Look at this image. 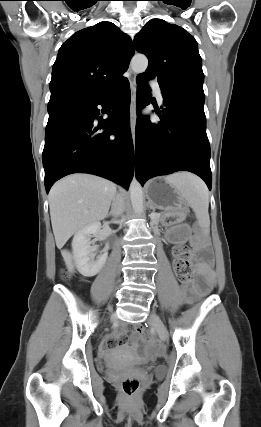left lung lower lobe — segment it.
I'll return each instance as SVG.
<instances>
[{
  "label": "left lung lower lobe",
  "instance_id": "obj_1",
  "mask_svg": "<svg viewBox=\"0 0 261 427\" xmlns=\"http://www.w3.org/2000/svg\"><path fill=\"white\" fill-rule=\"evenodd\" d=\"M137 111L149 105L147 79L137 76ZM164 108L158 123L138 113L135 173L141 185L154 176L190 171L211 190L210 145L206 134L205 96L186 89H161ZM162 113V114H161Z\"/></svg>",
  "mask_w": 261,
  "mask_h": 427
}]
</instances>
